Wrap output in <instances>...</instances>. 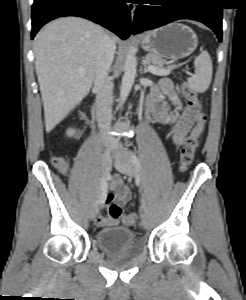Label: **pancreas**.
Segmentation results:
<instances>
[{"instance_id":"obj_1","label":"pancreas","mask_w":246,"mask_h":300,"mask_svg":"<svg viewBox=\"0 0 246 300\" xmlns=\"http://www.w3.org/2000/svg\"><path fill=\"white\" fill-rule=\"evenodd\" d=\"M147 61L152 63L154 67L158 68V69H165L163 67L165 61L158 58L157 56L153 55V54H149L147 56Z\"/></svg>"}]
</instances>
